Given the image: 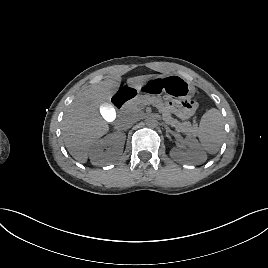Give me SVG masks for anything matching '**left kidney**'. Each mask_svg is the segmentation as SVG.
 Returning a JSON list of instances; mask_svg holds the SVG:
<instances>
[{
    "label": "left kidney",
    "instance_id": "left-kidney-1",
    "mask_svg": "<svg viewBox=\"0 0 268 268\" xmlns=\"http://www.w3.org/2000/svg\"><path fill=\"white\" fill-rule=\"evenodd\" d=\"M170 156L174 160L192 164L203 163L207 159V155L202 150L198 141L191 136L185 138L183 145L173 148L170 151Z\"/></svg>",
    "mask_w": 268,
    "mask_h": 268
}]
</instances>
